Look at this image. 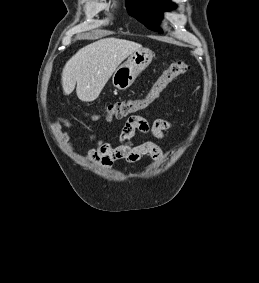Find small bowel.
Listing matches in <instances>:
<instances>
[{
	"label": "small bowel",
	"mask_w": 259,
	"mask_h": 283,
	"mask_svg": "<svg viewBox=\"0 0 259 283\" xmlns=\"http://www.w3.org/2000/svg\"><path fill=\"white\" fill-rule=\"evenodd\" d=\"M56 128L66 127L73 129L74 123L58 118L54 123ZM171 128V123L165 118H158L153 123H149L144 116L133 115L127 119L122 127L120 138L121 145L115 146L101 140H96V146L87 151V158L104 168H110L117 160H123L128 164L136 163L142 156H149L159 160L163 157L162 148L153 141H144L139 144L131 143L134 135L139 132L151 134L156 139L163 140L165 133ZM72 137L70 132L61 135L64 141H69ZM94 140V138H92Z\"/></svg>",
	"instance_id": "c3829d8e"
}]
</instances>
